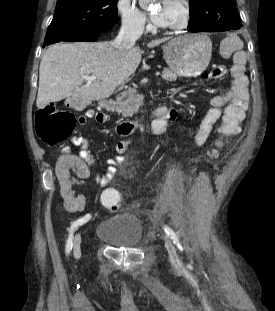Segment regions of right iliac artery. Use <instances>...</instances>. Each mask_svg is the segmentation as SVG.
<instances>
[{"label":"right iliac artery","mask_w":275,"mask_h":311,"mask_svg":"<svg viewBox=\"0 0 275 311\" xmlns=\"http://www.w3.org/2000/svg\"><path fill=\"white\" fill-rule=\"evenodd\" d=\"M91 218V215L90 214H87L85 215L84 217L82 218H79L78 220L74 221L70 228H69V236H68V239H67V242H66V248H65V251L67 254L70 253V251L72 250V239H73V233L74 231L82 224L88 222Z\"/></svg>","instance_id":"right-iliac-artery-1"}]
</instances>
